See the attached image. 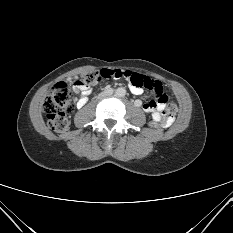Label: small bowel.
I'll return each mask as SVG.
<instances>
[{
  "label": "small bowel",
  "mask_w": 233,
  "mask_h": 233,
  "mask_svg": "<svg viewBox=\"0 0 233 233\" xmlns=\"http://www.w3.org/2000/svg\"><path fill=\"white\" fill-rule=\"evenodd\" d=\"M108 76H113L115 77L116 75L114 73H108ZM106 74L103 75L102 77H106ZM118 77L120 76L119 74L117 75ZM127 80V78H125ZM125 85L130 88L131 92L135 95H140L142 94L143 90L142 88L134 87L128 80L125 82ZM73 89L75 92L79 93L80 97L78 100V107L81 108L83 107L88 100V95L91 93V88L82 85L79 81H76L73 85ZM143 108L146 112H149L152 114V117H158L160 120L164 121V127H168L171 123L172 120L170 118H166L163 110L164 106L163 104H156L153 100L147 104L143 105Z\"/></svg>",
  "instance_id": "1"
}]
</instances>
